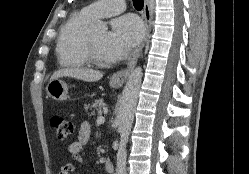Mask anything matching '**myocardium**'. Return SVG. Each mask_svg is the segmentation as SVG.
Wrapping results in <instances>:
<instances>
[{
  "mask_svg": "<svg viewBox=\"0 0 249 174\" xmlns=\"http://www.w3.org/2000/svg\"><path fill=\"white\" fill-rule=\"evenodd\" d=\"M85 52L87 55L88 60L97 65V66H108L109 63L106 61L101 60L94 49V45H93V41H92V37L90 34H88L87 39H86V43H85Z\"/></svg>",
  "mask_w": 249,
  "mask_h": 174,
  "instance_id": "f54148a6",
  "label": "myocardium"
}]
</instances>
